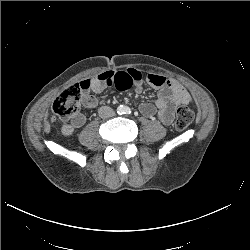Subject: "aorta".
Wrapping results in <instances>:
<instances>
[{
	"instance_id": "1",
	"label": "aorta",
	"mask_w": 250,
	"mask_h": 250,
	"mask_svg": "<svg viewBox=\"0 0 250 250\" xmlns=\"http://www.w3.org/2000/svg\"><path fill=\"white\" fill-rule=\"evenodd\" d=\"M127 110V107L126 106H123V105H120L118 108H117V112L119 114H124Z\"/></svg>"
}]
</instances>
